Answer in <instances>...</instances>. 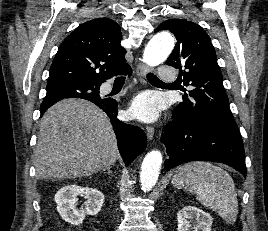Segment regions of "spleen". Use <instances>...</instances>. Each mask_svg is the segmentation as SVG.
Returning <instances> with one entry per match:
<instances>
[{
  "label": "spleen",
  "instance_id": "3e777b00",
  "mask_svg": "<svg viewBox=\"0 0 268 231\" xmlns=\"http://www.w3.org/2000/svg\"><path fill=\"white\" fill-rule=\"evenodd\" d=\"M173 186L196 194L201 204L233 224L238 214V200L233 179L223 168L210 162L196 161L181 166L172 180Z\"/></svg>",
  "mask_w": 268,
  "mask_h": 231
}]
</instances>
